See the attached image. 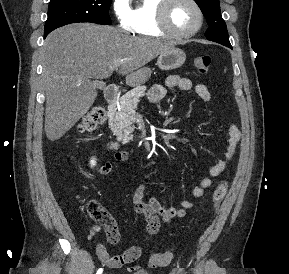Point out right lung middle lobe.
<instances>
[{
	"instance_id": "1",
	"label": "right lung middle lobe",
	"mask_w": 289,
	"mask_h": 274,
	"mask_svg": "<svg viewBox=\"0 0 289 274\" xmlns=\"http://www.w3.org/2000/svg\"><path fill=\"white\" fill-rule=\"evenodd\" d=\"M112 0H50L44 36L70 23L91 22L110 25L108 14Z\"/></svg>"
}]
</instances>
